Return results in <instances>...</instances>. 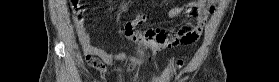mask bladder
<instances>
[{
    "instance_id": "bladder-1",
    "label": "bladder",
    "mask_w": 279,
    "mask_h": 82,
    "mask_svg": "<svg viewBox=\"0 0 279 82\" xmlns=\"http://www.w3.org/2000/svg\"><path fill=\"white\" fill-rule=\"evenodd\" d=\"M132 79H136V77H132Z\"/></svg>"
}]
</instances>
